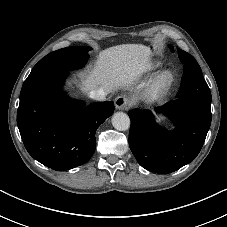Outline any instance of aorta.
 I'll use <instances>...</instances> for the list:
<instances>
[{"label": "aorta", "instance_id": "762f6f07", "mask_svg": "<svg viewBox=\"0 0 227 227\" xmlns=\"http://www.w3.org/2000/svg\"><path fill=\"white\" fill-rule=\"evenodd\" d=\"M112 125L116 130L126 131L130 127V118L124 112H116L112 116Z\"/></svg>", "mask_w": 227, "mask_h": 227}]
</instances>
